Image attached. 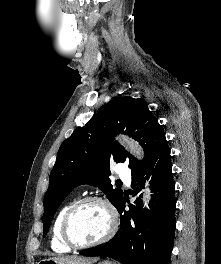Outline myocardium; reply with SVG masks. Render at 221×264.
Instances as JSON below:
<instances>
[{
    "mask_svg": "<svg viewBox=\"0 0 221 264\" xmlns=\"http://www.w3.org/2000/svg\"><path fill=\"white\" fill-rule=\"evenodd\" d=\"M97 203L104 207L109 217V227L107 232L98 240L89 243H77L71 236L70 223L75 211L84 204ZM118 214L115 207L110 201L99 196H86L73 202L64 214L61 224V236L66 245L72 249H87L99 246L109 241L116 233L118 229Z\"/></svg>",
    "mask_w": 221,
    "mask_h": 264,
    "instance_id": "1",
    "label": "myocardium"
}]
</instances>
